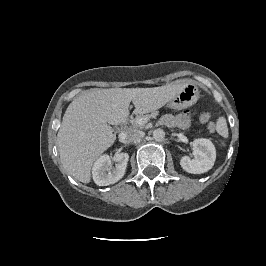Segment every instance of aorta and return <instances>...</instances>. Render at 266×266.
Instances as JSON below:
<instances>
[{
    "mask_svg": "<svg viewBox=\"0 0 266 266\" xmlns=\"http://www.w3.org/2000/svg\"><path fill=\"white\" fill-rule=\"evenodd\" d=\"M153 138L156 140V141H162L164 138H165V132L163 129H155L154 132H153Z\"/></svg>",
    "mask_w": 266,
    "mask_h": 266,
    "instance_id": "aorta-1",
    "label": "aorta"
}]
</instances>
